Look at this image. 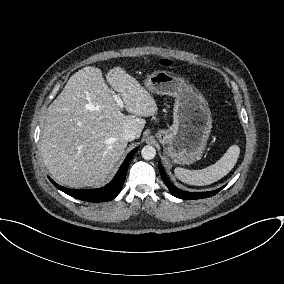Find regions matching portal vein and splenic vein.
Instances as JSON below:
<instances>
[{
    "label": "portal vein and splenic vein",
    "mask_w": 284,
    "mask_h": 284,
    "mask_svg": "<svg viewBox=\"0 0 284 284\" xmlns=\"http://www.w3.org/2000/svg\"><path fill=\"white\" fill-rule=\"evenodd\" d=\"M112 97L114 98L117 106L123 108L124 104L120 96L118 94L112 93Z\"/></svg>",
    "instance_id": "18ae733b"
}]
</instances>
